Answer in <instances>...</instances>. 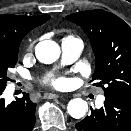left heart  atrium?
Listing matches in <instances>:
<instances>
[{"instance_id":"left-heart-atrium-1","label":"left heart atrium","mask_w":131,"mask_h":131,"mask_svg":"<svg viewBox=\"0 0 131 131\" xmlns=\"http://www.w3.org/2000/svg\"><path fill=\"white\" fill-rule=\"evenodd\" d=\"M47 83H49L51 86L57 89H63L67 85V80L63 77H55L48 79Z\"/></svg>"}]
</instances>
